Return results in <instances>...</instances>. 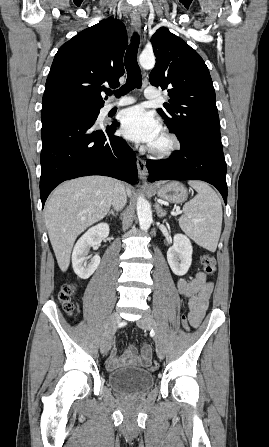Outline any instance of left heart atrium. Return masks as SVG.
<instances>
[{"label":"left heart atrium","mask_w":269,"mask_h":447,"mask_svg":"<svg viewBox=\"0 0 269 447\" xmlns=\"http://www.w3.org/2000/svg\"><path fill=\"white\" fill-rule=\"evenodd\" d=\"M121 134L132 141L150 145L162 132L160 119L141 106L123 110L119 116Z\"/></svg>","instance_id":"1"}]
</instances>
